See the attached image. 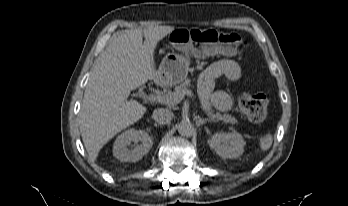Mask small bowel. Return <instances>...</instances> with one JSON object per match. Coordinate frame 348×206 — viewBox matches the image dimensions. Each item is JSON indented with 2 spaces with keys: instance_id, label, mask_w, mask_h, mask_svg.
<instances>
[{
  "instance_id": "obj_1",
  "label": "small bowel",
  "mask_w": 348,
  "mask_h": 206,
  "mask_svg": "<svg viewBox=\"0 0 348 206\" xmlns=\"http://www.w3.org/2000/svg\"><path fill=\"white\" fill-rule=\"evenodd\" d=\"M242 77V68L232 59H221L209 65L199 79V96L204 109L211 105L220 111H228L232 107L231 95L225 90L212 93L215 81L222 78L226 81H237Z\"/></svg>"
}]
</instances>
